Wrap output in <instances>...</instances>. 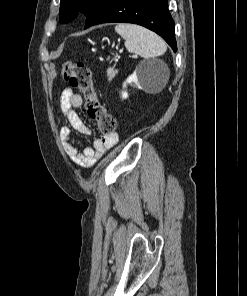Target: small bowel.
<instances>
[{
  "instance_id": "obj_1",
  "label": "small bowel",
  "mask_w": 247,
  "mask_h": 296,
  "mask_svg": "<svg viewBox=\"0 0 247 296\" xmlns=\"http://www.w3.org/2000/svg\"><path fill=\"white\" fill-rule=\"evenodd\" d=\"M83 104L82 96L75 93L71 88H66L60 96V109L69 126L80 134H91L90 128L83 122L76 112ZM63 126L60 128V138L70 160L77 166L89 168L93 166L104 153L116 145L118 134L103 136L93 141L91 147L79 151L75 145L71 128Z\"/></svg>"
}]
</instances>
